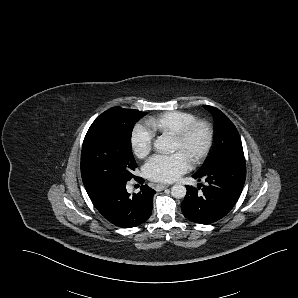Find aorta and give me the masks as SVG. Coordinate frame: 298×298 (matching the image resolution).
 Listing matches in <instances>:
<instances>
[{"instance_id": "1", "label": "aorta", "mask_w": 298, "mask_h": 298, "mask_svg": "<svg viewBox=\"0 0 298 298\" xmlns=\"http://www.w3.org/2000/svg\"><path fill=\"white\" fill-rule=\"evenodd\" d=\"M154 147L162 154L173 153L177 150L175 140L172 137L164 135L158 137L154 143ZM186 192L187 189L183 184L176 183L171 187V195L174 198H184L186 196Z\"/></svg>"}]
</instances>
